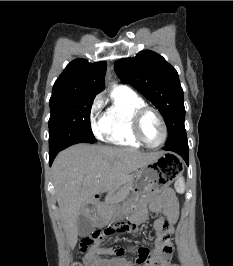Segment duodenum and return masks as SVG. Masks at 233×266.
<instances>
[{"mask_svg": "<svg viewBox=\"0 0 233 266\" xmlns=\"http://www.w3.org/2000/svg\"><path fill=\"white\" fill-rule=\"evenodd\" d=\"M100 199V194L99 193H96L92 196V200L93 202H98V200Z\"/></svg>", "mask_w": 233, "mask_h": 266, "instance_id": "obj_1", "label": "duodenum"}]
</instances>
